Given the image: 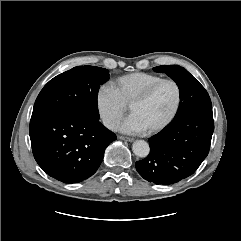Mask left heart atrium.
I'll use <instances>...</instances> for the list:
<instances>
[{"label": "left heart atrium", "mask_w": 241, "mask_h": 241, "mask_svg": "<svg viewBox=\"0 0 241 241\" xmlns=\"http://www.w3.org/2000/svg\"><path fill=\"white\" fill-rule=\"evenodd\" d=\"M119 129L128 134H139L145 132L147 127L137 115L131 114L121 123Z\"/></svg>", "instance_id": "obj_1"}]
</instances>
